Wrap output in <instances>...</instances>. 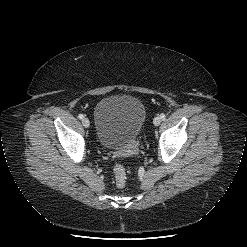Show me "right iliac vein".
Here are the masks:
<instances>
[{"mask_svg": "<svg viewBox=\"0 0 247 247\" xmlns=\"http://www.w3.org/2000/svg\"><path fill=\"white\" fill-rule=\"evenodd\" d=\"M82 124L84 127L88 128L90 126V121L88 118H83L82 119Z\"/></svg>", "mask_w": 247, "mask_h": 247, "instance_id": "right-iliac-vein-1", "label": "right iliac vein"}]
</instances>
